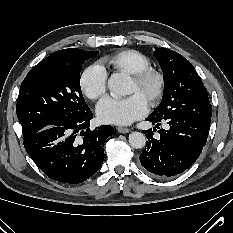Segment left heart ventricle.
Returning <instances> with one entry per match:
<instances>
[{"label": "left heart ventricle", "instance_id": "obj_1", "mask_svg": "<svg viewBox=\"0 0 233 233\" xmlns=\"http://www.w3.org/2000/svg\"><path fill=\"white\" fill-rule=\"evenodd\" d=\"M154 88L155 83L152 80L146 82L143 85H138L132 80L129 88V94L137 93L141 95L146 101H148L149 97L154 91Z\"/></svg>", "mask_w": 233, "mask_h": 233}]
</instances>
